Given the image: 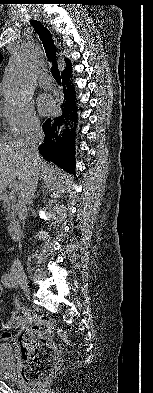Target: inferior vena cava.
I'll return each instance as SVG.
<instances>
[{"label":"inferior vena cava","instance_id":"602c4592","mask_svg":"<svg viewBox=\"0 0 153 393\" xmlns=\"http://www.w3.org/2000/svg\"><path fill=\"white\" fill-rule=\"evenodd\" d=\"M44 141V133L40 127V123L34 121L29 126L25 142L28 148L33 152H38V146ZM39 165H34V169L31 174L26 178V180L21 185V190L18 196L17 203V214L18 218L23 221L27 218V204L34 196L36 187L39 180ZM11 272L13 275H23L24 270L21 261L17 258L13 261L11 266Z\"/></svg>","mask_w":153,"mask_h":393}]
</instances>
